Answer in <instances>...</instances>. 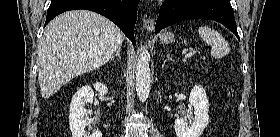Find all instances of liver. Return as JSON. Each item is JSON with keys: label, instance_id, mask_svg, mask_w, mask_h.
Instances as JSON below:
<instances>
[{"label": "liver", "instance_id": "6515ba94", "mask_svg": "<svg viewBox=\"0 0 280 137\" xmlns=\"http://www.w3.org/2000/svg\"><path fill=\"white\" fill-rule=\"evenodd\" d=\"M125 36L104 16L73 10L53 19L38 48V81L44 99L73 78L98 69L121 48Z\"/></svg>", "mask_w": 280, "mask_h": 137}]
</instances>
